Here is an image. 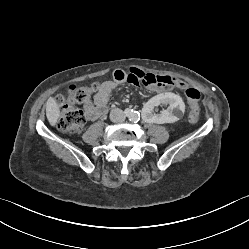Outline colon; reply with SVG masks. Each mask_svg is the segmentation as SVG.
<instances>
[{
    "instance_id": "1",
    "label": "colon",
    "mask_w": 249,
    "mask_h": 249,
    "mask_svg": "<svg viewBox=\"0 0 249 249\" xmlns=\"http://www.w3.org/2000/svg\"><path fill=\"white\" fill-rule=\"evenodd\" d=\"M170 83H175L184 89L190 106L189 120L191 123H198L201 116L199 107L200 93L197 89L188 87L184 81L171 77L162 78L150 73H144L143 84L138 86L155 89ZM98 88L99 85L97 84L89 87L70 86L65 94H60L56 97V103L60 109L58 128L62 132L72 135L82 131L86 120L84 113L77 108V104L86 101Z\"/></svg>"
}]
</instances>
